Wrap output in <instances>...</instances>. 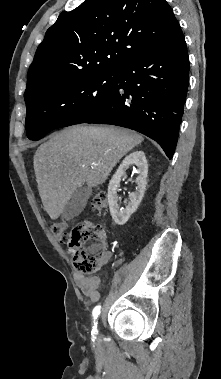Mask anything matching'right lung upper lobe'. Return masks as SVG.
I'll list each match as a JSON object with an SVG mask.
<instances>
[{"label":"right lung upper lobe","instance_id":"1","mask_svg":"<svg viewBox=\"0 0 221 379\" xmlns=\"http://www.w3.org/2000/svg\"><path fill=\"white\" fill-rule=\"evenodd\" d=\"M179 29L166 0H86L47 30L28 71L25 102L78 76L118 69Z\"/></svg>","mask_w":221,"mask_h":379}]
</instances>
